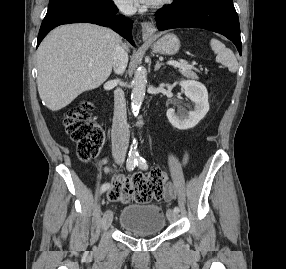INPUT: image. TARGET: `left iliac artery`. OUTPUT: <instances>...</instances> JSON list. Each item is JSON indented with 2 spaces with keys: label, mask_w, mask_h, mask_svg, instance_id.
Wrapping results in <instances>:
<instances>
[{
  "label": "left iliac artery",
  "mask_w": 286,
  "mask_h": 269,
  "mask_svg": "<svg viewBox=\"0 0 286 269\" xmlns=\"http://www.w3.org/2000/svg\"><path fill=\"white\" fill-rule=\"evenodd\" d=\"M135 162H136V165L140 169L146 170L148 168L146 160L143 157L139 156L138 154H136ZM174 211L178 213L179 212V208L177 206L174 207Z\"/></svg>",
  "instance_id": "obj_1"
}]
</instances>
